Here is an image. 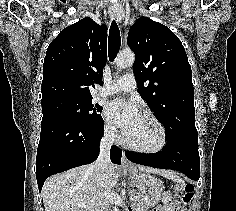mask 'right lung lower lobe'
Segmentation results:
<instances>
[{"instance_id": "1", "label": "right lung lower lobe", "mask_w": 236, "mask_h": 211, "mask_svg": "<svg viewBox=\"0 0 236 211\" xmlns=\"http://www.w3.org/2000/svg\"><path fill=\"white\" fill-rule=\"evenodd\" d=\"M103 133V122L88 126L64 119L42 121L36 157L39 191L49 176L96 160ZM121 156L122 150L113 145L111 161L121 164Z\"/></svg>"}]
</instances>
